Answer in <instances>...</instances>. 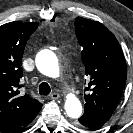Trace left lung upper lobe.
I'll return each instance as SVG.
<instances>
[{"instance_id": "1", "label": "left lung upper lobe", "mask_w": 133, "mask_h": 133, "mask_svg": "<svg viewBox=\"0 0 133 133\" xmlns=\"http://www.w3.org/2000/svg\"><path fill=\"white\" fill-rule=\"evenodd\" d=\"M76 35L83 47L82 61L89 78L84 89L85 110L111 116L123 92L127 69L115 36L101 23L77 17Z\"/></svg>"}]
</instances>
